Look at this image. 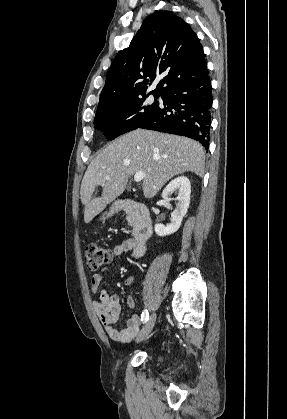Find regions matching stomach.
I'll return each mask as SVG.
<instances>
[{"instance_id": "1", "label": "stomach", "mask_w": 287, "mask_h": 419, "mask_svg": "<svg viewBox=\"0 0 287 419\" xmlns=\"http://www.w3.org/2000/svg\"><path fill=\"white\" fill-rule=\"evenodd\" d=\"M112 213H113V211H112V209H110V210L106 211L105 213H103V214L99 217V219H100V220H104L106 217L111 216V215H112Z\"/></svg>"}]
</instances>
